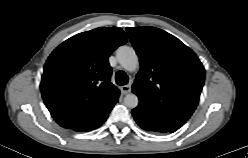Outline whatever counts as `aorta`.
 Returning <instances> with one entry per match:
<instances>
[{
	"mask_svg": "<svg viewBox=\"0 0 248 158\" xmlns=\"http://www.w3.org/2000/svg\"><path fill=\"white\" fill-rule=\"evenodd\" d=\"M116 56L120 65L129 72H134L139 66L137 54L135 50L129 46L119 47L116 51ZM138 103L139 99L133 93L127 94L124 97V104L128 108H136L138 106Z\"/></svg>",
	"mask_w": 248,
	"mask_h": 158,
	"instance_id": "762f6f07",
	"label": "aorta"
}]
</instances>
